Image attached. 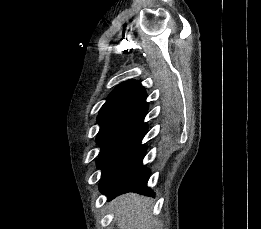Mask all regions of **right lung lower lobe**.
<instances>
[{"label": "right lung lower lobe", "mask_w": 261, "mask_h": 229, "mask_svg": "<svg viewBox=\"0 0 261 229\" xmlns=\"http://www.w3.org/2000/svg\"><path fill=\"white\" fill-rule=\"evenodd\" d=\"M146 149L142 146L131 155L118 161L101 178L100 191L108 200L127 192L147 195L154 193L147 186L150 170L142 164Z\"/></svg>", "instance_id": "98d812e1"}]
</instances>
